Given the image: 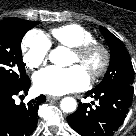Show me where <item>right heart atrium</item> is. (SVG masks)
<instances>
[{
    "label": "right heart atrium",
    "instance_id": "right-heart-atrium-1",
    "mask_svg": "<svg viewBox=\"0 0 136 136\" xmlns=\"http://www.w3.org/2000/svg\"><path fill=\"white\" fill-rule=\"evenodd\" d=\"M51 44L48 38L38 30L28 32L21 44L22 59L25 66L34 69L41 66L48 57Z\"/></svg>",
    "mask_w": 136,
    "mask_h": 136
}]
</instances>
